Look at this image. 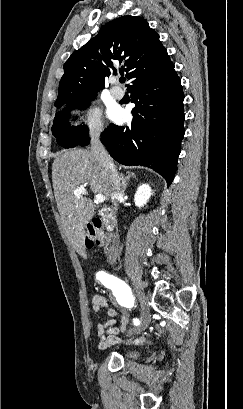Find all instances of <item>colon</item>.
I'll return each instance as SVG.
<instances>
[{"mask_svg": "<svg viewBox=\"0 0 243 409\" xmlns=\"http://www.w3.org/2000/svg\"><path fill=\"white\" fill-rule=\"evenodd\" d=\"M109 238L101 231L100 223L93 222L86 228L85 243L87 247L107 245Z\"/></svg>", "mask_w": 243, "mask_h": 409, "instance_id": "obj_1", "label": "colon"}]
</instances>
